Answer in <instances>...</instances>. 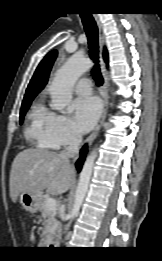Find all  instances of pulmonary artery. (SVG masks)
<instances>
[{"label": "pulmonary artery", "instance_id": "e3ab8cb5", "mask_svg": "<svg viewBox=\"0 0 162 261\" xmlns=\"http://www.w3.org/2000/svg\"><path fill=\"white\" fill-rule=\"evenodd\" d=\"M90 85H91L90 79L81 78L75 84L74 89H75L77 94L86 97V96L91 94Z\"/></svg>", "mask_w": 162, "mask_h": 261}]
</instances>
